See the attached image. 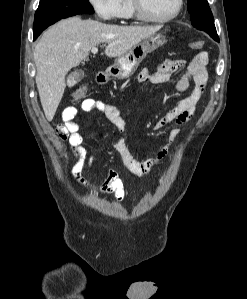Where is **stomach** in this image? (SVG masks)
<instances>
[{"label": "stomach", "instance_id": "stomach-1", "mask_svg": "<svg viewBox=\"0 0 247 299\" xmlns=\"http://www.w3.org/2000/svg\"><path fill=\"white\" fill-rule=\"evenodd\" d=\"M166 41V37L161 33L146 38L114 61L109 70L110 75L117 79L129 78L147 55L164 45Z\"/></svg>", "mask_w": 247, "mask_h": 299}]
</instances>
